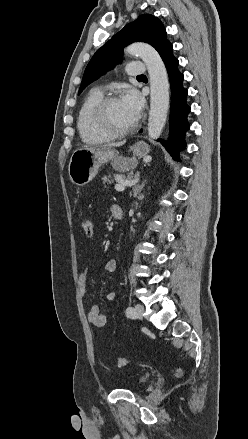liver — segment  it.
I'll list each match as a JSON object with an SVG mask.
<instances>
[{"label":"liver","mask_w":248,"mask_h":439,"mask_svg":"<svg viewBox=\"0 0 248 439\" xmlns=\"http://www.w3.org/2000/svg\"><path fill=\"white\" fill-rule=\"evenodd\" d=\"M124 144H125V141H121V142H117V143H109V144H107L105 146H108V147H120V146H122Z\"/></svg>","instance_id":"obj_1"}]
</instances>
